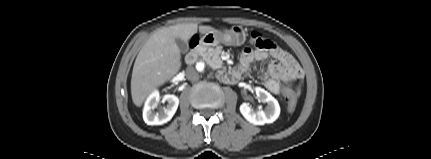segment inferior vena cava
<instances>
[{
    "instance_id": "602c4592",
    "label": "inferior vena cava",
    "mask_w": 431,
    "mask_h": 159,
    "mask_svg": "<svg viewBox=\"0 0 431 159\" xmlns=\"http://www.w3.org/2000/svg\"><path fill=\"white\" fill-rule=\"evenodd\" d=\"M186 76L190 81H197L199 79V74L194 67H189L186 70Z\"/></svg>"
}]
</instances>
